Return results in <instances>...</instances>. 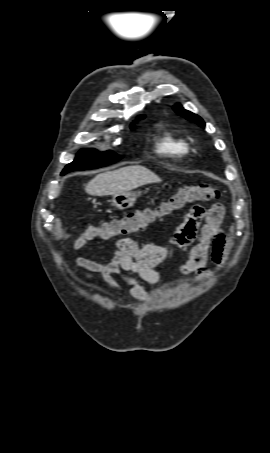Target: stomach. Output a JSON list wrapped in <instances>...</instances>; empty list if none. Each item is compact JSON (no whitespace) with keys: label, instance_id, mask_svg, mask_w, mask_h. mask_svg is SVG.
I'll return each instance as SVG.
<instances>
[{"label":"stomach","instance_id":"obj_1","mask_svg":"<svg viewBox=\"0 0 270 453\" xmlns=\"http://www.w3.org/2000/svg\"><path fill=\"white\" fill-rule=\"evenodd\" d=\"M138 195L139 193L132 192L116 194L112 197L111 204L120 210H125L135 204Z\"/></svg>","mask_w":270,"mask_h":453}]
</instances>
